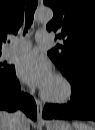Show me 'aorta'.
I'll return each mask as SVG.
<instances>
[{"label": "aorta", "instance_id": "762f6f07", "mask_svg": "<svg viewBox=\"0 0 95 130\" xmlns=\"http://www.w3.org/2000/svg\"><path fill=\"white\" fill-rule=\"evenodd\" d=\"M53 18V11L48 7L38 8L35 12V20L37 22L47 23Z\"/></svg>", "mask_w": 95, "mask_h": 130}]
</instances>
